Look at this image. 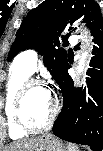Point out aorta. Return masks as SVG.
<instances>
[{
	"instance_id": "aorta-1",
	"label": "aorta",
	"mask_w": 103,
	"mask_h": 151,
	"mask_svg": "<svg viewBox=\"0 0 103 151\" xmlns=\"http://www.w3.org/2000/svg\"><path fill=\"white\" fill-rule=\"evenodd\" d=\"M86 56H87V53L84 52L77 66L78 73H81L84 69V62H85Z\"/></svg>"
}]
</instances>
